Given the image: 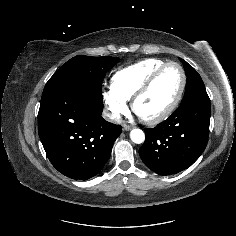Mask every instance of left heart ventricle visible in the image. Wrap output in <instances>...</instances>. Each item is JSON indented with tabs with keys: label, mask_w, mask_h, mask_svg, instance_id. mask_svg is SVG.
Segmentation results:
<instances>
[{
	"label": "left heart ventricle",
	"mask_w": 236,
	"mask_h": 236,
	"mask_svg": "<svg viewBox=\"0 0 236 236\" xmlns=\"http://www.w3.org/2000/svg\"><path fill=\"white\" fill-rule=\"evenodd\" d=\"M181 85V73L175 66L167 68L142 96L137 104V113L145 118H152L164 111L175 99Z\"/></svg>",
	"instance_id": "left-heart-ventricle-1"
}]
</instances>
